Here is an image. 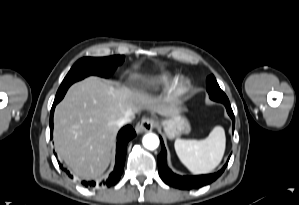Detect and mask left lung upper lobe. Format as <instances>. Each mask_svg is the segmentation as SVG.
Segmentation results:
<instances>
[{
    "mask_svg": "<svg viewBox=\"0 0 299 205\" xmlns=\"http://www.w3.org/2000/svg\"><path fill=\"white\" fill-rule=\"evenodd\" d=\"M207 91L209 96L214 101H221L228 99L225 93L220 89L215 77L213 75L207 78Z\"/></svg>",
    "mask_w": 299,
    "mask_h": 205,
    "instance_id": "left-lung-upper-lobe-1",
    "label": "left lung upper lobe"
}]
</instances>
